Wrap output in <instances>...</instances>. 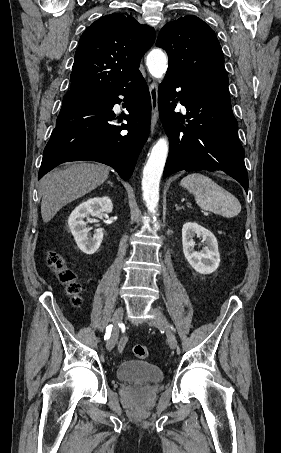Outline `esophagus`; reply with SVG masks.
<instances>
[{
  "mask_svg": "<svg viewBox=\"0 0 281 453\" xmlns=\"http://www.w3.org/2000/svg\"><path fill=\"white\" fill-rule=\"evenodd\" d=\"M150 97H151V133L154 132V129L157 125V120L159 117V110H158V87L156 83L150 84Z\"/></svg>",
  "mask_w": 281,
  "mask_h": 453,
  "instance_id": "1",
  "label": "esophagus"
}]
</instances>
